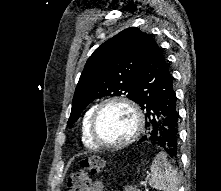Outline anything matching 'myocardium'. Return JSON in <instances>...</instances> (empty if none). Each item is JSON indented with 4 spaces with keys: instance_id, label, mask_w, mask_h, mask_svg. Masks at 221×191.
<instances>
[{
    "instance_id": "myocardium-1",
    "label": "myocardium",
    "mask_w": 221,
    "mask_h": 191,
    "mask_svg": "<svg viewBox=\"0 0 221 191\" xmlns=\"http://www.w3.org/2000/svg\"><path fill=\"white\" fill-rule=\"evenodd\" d=\"M110 104H121L126 106L133 113L135 119V126L131 135L127 137L125 140L118 143L104 142L103 140H101V138L97 133V121L99 115L103 110V108ZM143 129H144V116L142 114L141 108L137 103L123 96H112L102 100L99 104H97L91 115L90 125H89V132L93 142H95L99 147L110 148V149H120L132 144L138 139Z\"/></svg>"
}]
</instances>
